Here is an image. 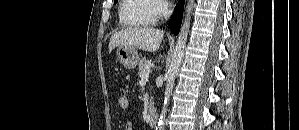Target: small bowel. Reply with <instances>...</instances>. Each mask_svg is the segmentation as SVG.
<instances>
[{"label":"small bowel","instance_id":"c3829d8e","mask_svg":"<svg viewBox=\"0 0 299 130\" xmlns=\"http://www.w3.org/2000/svg\"><path fill=\"white\" fill-rule=\"evenodd\" d=\"M125 130H134V125L131 121H128L125 125Z\"/></svg>","mask_w":299,"mask_h":130}]
</instances>
